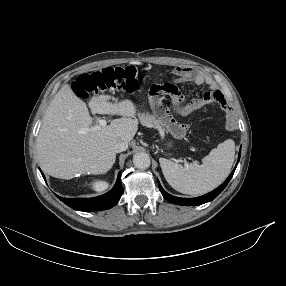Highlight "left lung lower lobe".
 Here are the masks:
<instances>
[{
    "instance_id": "obj_1",
    "label": "left lung lower lobe",
    "mask_w": 286,
    "mask_h": 286,
    "mask_svg": "<svg viewBox=\"0 0 286 286\" xmlns=\"http://www.w3.org/2000/svg\"><path fill=\"white\" fill-rule=\"evenodd\" d=\"M240 154H241V150L239 152L238 162H239V159H240ZM238 162H237V164H238ZM235 169H236V167L231 172L229 177L225 180V182L222 185H220L218 188H216L215 190H213L212 192H210L208 194H205L203 196L196 197V198H179V197H175V196H172V195L168 194L167 192H165L164 189L161 187L159 181H158V186H159V189H160L162 195L168 201H170L171 203H174V204H177V205H185V206L201 205V204H204L206 202H209V201L213 200L216 196H218L222 192V190L226 187V185L228 184V182L232 178V176H233V174L235 172Z\"/></svg>"
}]
</instances>
